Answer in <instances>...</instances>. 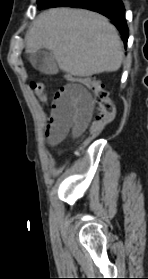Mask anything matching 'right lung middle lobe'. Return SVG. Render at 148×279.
Here are the masks:
<instances>
[{
	"label": "right lung middle lobe",
	"mask_w": 148,
	"mask_h": 279,
	"mask_svg": "<svg viewBox=\"0 0 148 279\" xmlns=\"http://www.w3.org/2000/svg\"><path fill=\"white\" fill-rule=\"evenodd\" d=\"M49 0H37L38 9H44Z\"/></svg>",
	"instance_id": "right-lung-middle-lobe-1"
}]
</instances>
